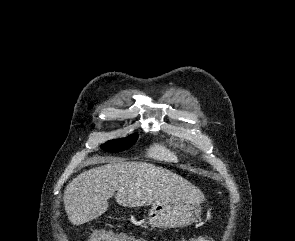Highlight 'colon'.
Instances as JSON below:
<instances>
[{
  "label": "colon",
  "mask_w": 295,
  "mask_h": 241,
  "mask_svg": "<svg viewBox=\"0 0 295 241\" xmlns=\"http://www.w3.org/2000/svg\"><path fill=\"white\" fill-rule=\"evenodd\" d=\"M131 237L124 233H118L107 230H96L90 235L89 241H132ZM188 241H212L211 239H190Z\"/></svg>",
  "instance_id": "1"
}]
</instances>
